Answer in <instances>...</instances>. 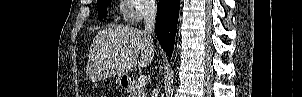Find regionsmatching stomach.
I'll return each instance as SVG.
<instances>
[{"label":"stomach","mask_w":302,"mask_h":97,"mask_svg":"<svg viewBox=\"0 0 302 97\" xmlns=\"http://www.w3.org/2000/svg\"><path fill=\"white\" fill-rule=\"evenodd\" d=\"M115 82H116V84L125 88V87H127V84L129 82V77H128V75H117L115 77Z\"/></svg>","instance_id":"obj_1"}]
</instances>
